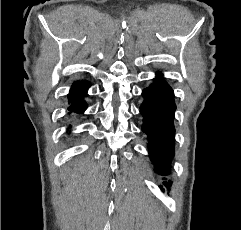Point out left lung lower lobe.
<instances>
[{"label":"left lung lower lobe","instance_id":"left-lung-lower-lobe-1","mask_svg":"<svg viewBox=\"0 0 241 230\" xmlns=\"http://www.w3.org/2000/svg\"><path fill=\"white\" fill-rule=\"evenodd\" d=\"M144 102L140 107L143 115L142 130L148 135L149 155L155 162L156 172L161 175L169 174V165L174 156V134L173 125L174 92L172 88L162 80L161 73L155 82L142 92ZM164 186L170 188L172 182H163ZM164 191V188L160 186Z\"/></svg>","mask_w":241,"mask_h":230}]
</instances>
